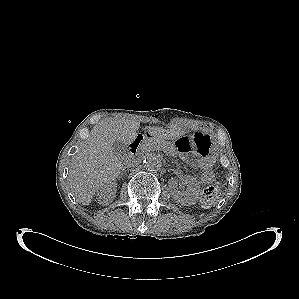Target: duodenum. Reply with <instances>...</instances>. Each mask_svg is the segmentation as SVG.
<instances>
[{"instance_id":"duodenum-1","label":"duodenum","mask_w":299,"mask_h":299,"mask_svg":"<svg viewBox=\"0 0 299 299\" xmlns=\"http://www.w3.org/2000/svg\"><path fill=\"white\" fill-rule=\"evenodd\" d=\"M149 136V133L138 134L129 145L130 152L132 154L136 153L144 139Z\"/></svg>"}]
</instances>
